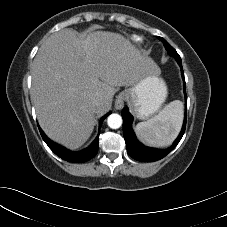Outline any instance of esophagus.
<instances>
[{
	"mask_svg": "<svg viewBox=\"0 0 227 227\" xmlns=\"http://www.w3.org/2000/svg\"><path fill=\"white\" fill-rule=\"evenodd\" d=\"M127 94L125 92H121L117 97H116V100H115V109L116 110H121L126 101H127Z\"/></svg>",
	"mask_w": 227,
	"mask_h": 227,
	"instance_id": "1",
	"label": "esophagus"
}]
</instances>
